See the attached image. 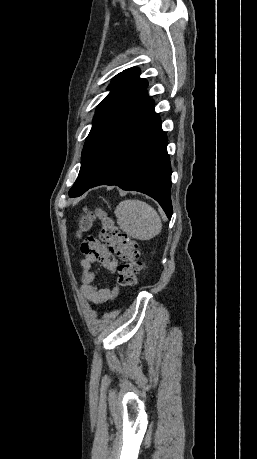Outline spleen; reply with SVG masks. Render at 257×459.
I'll return each instance as SVG.
<instances>
[{
  "label": "spleen",
  "mask_w": 257,
  "mask_h": 459,
  "mask_svg": "<svg viewBox=\"0 0 257 459\" xmlns=\"http://www.w3.org/2000/svg\"><path fill=\"white\" fill-rule=\"evenodd\" d=\"M115 215L120 229L138 240H150L162 229L156 210L138 199L121 201L115 209Z\"/></svg>",
  "instance_id": "1"
}]
</instances>
